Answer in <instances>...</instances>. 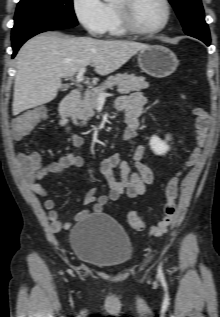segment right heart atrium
<instances>
[{
    "label": "right heart atrium",
    "mask_w": 220,
    "mask_h": 317,
    "mask_svg": "<svg viewBox=\"0 0 220 317\" xmlns=\"http://www.w3.org/2000/svg\"><path fill=\"white\" fill-rule=\"evenodd\" d=\"M73 12L83 28L93 36L106 30L107 8L101 0H72Z\"/></svg>",
    "instance_id": "1"
}]
</instances>
